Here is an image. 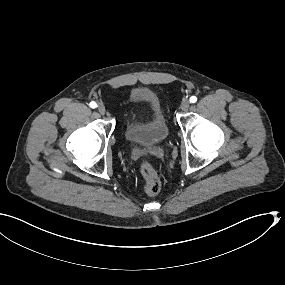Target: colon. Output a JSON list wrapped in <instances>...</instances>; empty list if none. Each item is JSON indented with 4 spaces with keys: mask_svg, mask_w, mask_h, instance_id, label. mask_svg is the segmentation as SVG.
Segmentation results:
<instances>
[{
    "mask_svg": "<svg viewBox=\"0 0 285 285\" xmlns=\"http://www.w3.org/2000/svg\"><path fill=\"white\" fill-rule=\"evenodd\" d=\"M140 170L145 180V193L149 196L158 194L161 189V181L153 165L149 161H144Z\"/></svg>",
    "mask_w": 285,
    "mask_h": 285,
    "instance_id": "5ec220e1",
    "label": "colon"
}]
</instances>
